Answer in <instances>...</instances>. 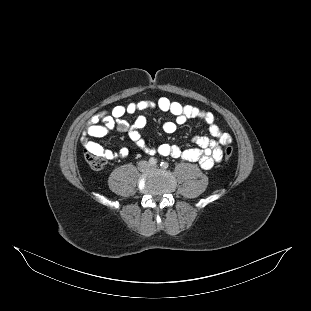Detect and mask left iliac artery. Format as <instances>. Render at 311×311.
Here are the masks:
<instances>
[{
  "instance_id": "1",
  "label": "left iliac artery",
  "mask_w": 311,
  "mask_h": 311,
  "mask_svg": "<svg viewBox=\"0 0 311 311\" xmlns=\"http://www.w3.org/2000/svg\"><path fill=\"white\" fill-rule=\"evenodd\" d=\"M160 166L163 168V169H167L169 167V164L167 162H161L160 163Z\"/></svg>"
}]
</instances>
